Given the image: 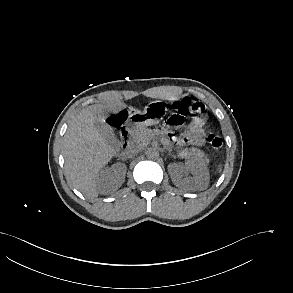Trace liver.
Instances as JSON below:
<instances>
[{
	"label": "liver",
	"mask_w": 293,
	"mask_h": 293,
	"mask_svg": "<svg viewBox=\"0 0 293 293\" xmlns=\"http://www.w3.org/2000/svg\"><path fill=\"white\" fill-rule=\"evenodd\" d=\"M129 109L136 111L133 107ZM103 110V105L83 109L71 121L63 141L66 179L87 197L98 195V172L116 153L115 146L95 127L96 119L105 122Z\"/></svg>",
	"instance_id": "6515ba94"
}]
</instances>
